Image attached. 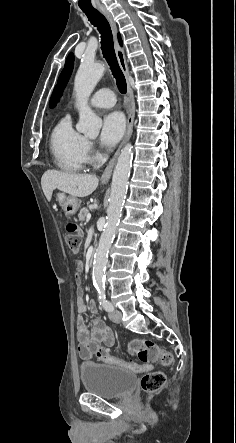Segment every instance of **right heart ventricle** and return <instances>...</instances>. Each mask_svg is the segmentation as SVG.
Segmentation results:
<instances>
[{"instance_id": "1", "label": "right heart ventricle", "mask_w": 236, "mask_h": 443, "mask_svg": "<svg viewBox=\"0 0 236 443\" xmlns=\"http://www.w3.org/2000/svg\"><path fill=\"white\" fill-rule=\"evenodd\" d=\"M86 139L72 125L70 116L63 117L50 135V152L56 167L66 172H79L85 168Z\"/></svg>"}]
</instances>
